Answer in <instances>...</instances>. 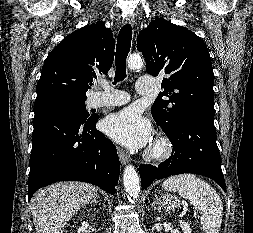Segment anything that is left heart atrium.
<instances>
[{"label": "left heart atrium", "mask_w": 253, "mask_h": 233, "mask_svg": "<svg viewBox=\"0 0 253 233\" xmlns=\"http://www.w3.org/2000/svg\"><path fill=\"white\" fill-rule=\"evenodd\" d=\"M104 132L113 140L129 148H141L151 138V124L135 108H127L107 117Z\"/></svg>", "instance_id": "39dd6f15"}]
</instances>
